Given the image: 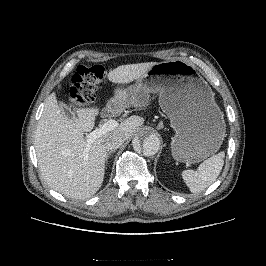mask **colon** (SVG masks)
Segmentation results:
<instances>
[{
	"mask_svg": "<svg viewBox=\"0 0 266 266\" xmlns=\"http://www.w3.org/2000/svg\"><path fill=\"white\" fill-rule=\"evenodd\" d=\"M105 69L102 65H79L67 90L69 100L79 107L89 106L102 82Z\"/></svg>",
	"mask_w": 266,
	"mask_h": 266,
	"instance_id": "obj_1",
	"label": "colon"
}]
</instances>
